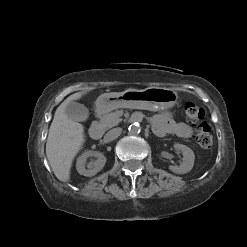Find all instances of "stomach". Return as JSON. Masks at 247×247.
Instances as JSON below:
<instances>
[{
  "mask_svg": "<svg viewBox=\"0 0 247 247\" xmlns=\"http://www.w3.org/2000/svg\"><path fill=\"white\" fill-rule=\"evenodd\" d=\"M178 98V93L171 88L149 87L143 90L104 93L97 98L95 104L100 113L116 108L167 110L176 105Z\"/></svg>",
  "mask_w": 247,
  "mask_h": 247,
  "instance_id": "obj_1",
  "label": "stomach"
}]
</instances>
